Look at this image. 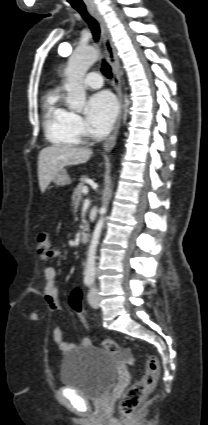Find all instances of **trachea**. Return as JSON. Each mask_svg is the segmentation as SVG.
<instances>
[{
  "label": "trachea",
  "instance_id": "obj_1",
  "mask_svg": "<svg viewBox=\"0 0 208 425\" xmlns=\"http://www.w3.org/2000/svg\"><path fill=\"white\" fill-rule=\"evenodd\" d=\"M76 10L81 14L83 19L89 24L95 41H98L100 37V27L98 22L88 13L86 8H81ZM101 71L107 78L109 79L112 78L111 68L109 64L104 60L102 63Z\"/></svg>",
  "mask_w": 208,
  "mask_h": 425
}]
</instances>
